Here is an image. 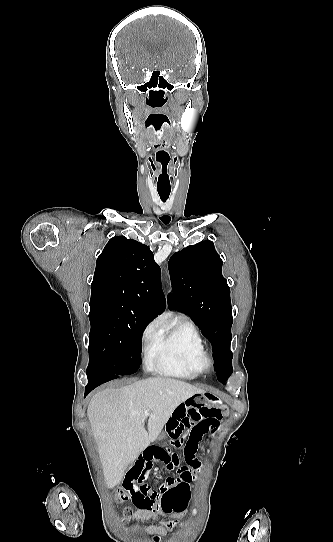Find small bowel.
<instances>
[{"label": "small bowel", "instance_id": "c3829d8e", "mask_svg": "<svg viewBox=\"0 0 333 542\" xmlns=\"http://www.w3.org/2000/svg\"><path fill=\"white\" fill-rule=\"evenodd\" d=\"M173 416L169 419L166 427L167 443L170 447L181 450L185 461L190 465H197L196 453L201 444H208L210 437L218 432L223 423L224 411L222 409H210L201 406L198 400H183L181 405H176L172 410ZM141 458L126 476L128 479L140 483L135 488L132 499L138 508L136 519L145 522L151 518L159 519L165 516L168 520L173 518L172 508H163V497H183L184 485L192 478L186 467L179 466V457L167 448L149 446L144 448ZM165 464L172 470H176L178 477L164 478L159 474V464ZM150 472L154 475V484L146 482ZM187 514L176 513V520L187 519ZM160 520L158 525L146 528L149 534L157 537H165L170 530L178 527L177 521Z\"/></svg>", "mask_w": 333, "mask_h": 542}]
</instances>
